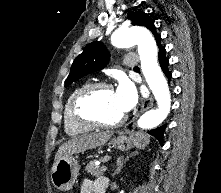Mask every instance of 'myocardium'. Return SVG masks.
Instances as JSON below:
<instances>
[{"mask_svg": "<svg viewBox=\"0 0 221 193\" xmlns=\"http://www.w3.org/2000/svg\"><path fill=\"white\" fill-rule=\"evenodd\" d=\"M102 90H113V86L112 84L104 81L92 82L85 84L77 92L72 100L71 110L78 123L92 128H116L125 122L126 115H123L121 118L113 122H108L102 120L97 115L86 109L87 103Z\"/></svg>", "mask_w": 221, "mask_h": 193, "instance_id": "myocardium-1", "label": "myocardium"}]
</instances>
